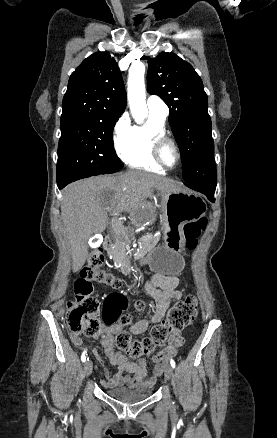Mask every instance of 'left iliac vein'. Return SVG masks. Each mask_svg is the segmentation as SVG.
<instances>
[{"label": "left iliac vein", "instance_id": "1", "mask_svg": "<svg viewBox=\"0 0 277 438\" xmlns=\"http://www.w3.org/2000/svg\"><path fill=\"white\" fill-rule=\"evenodd\" d=\"M173 376V368L170 365H167L165 368V378L170 380Z\"/></svg>", "mask_w": 277, "mask_h": 438}]
</instances>
